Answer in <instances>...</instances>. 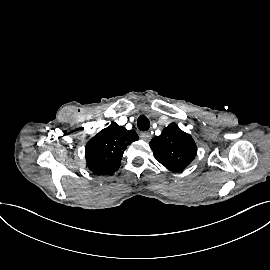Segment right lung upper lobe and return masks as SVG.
<instances>
[{
	"instance_id": "1",
	"label": "right lung upper lobe",
	"mask_w": 270,
	"mask_h": 270,
	"mask_svg": "<svg viewBox=\"0 0 270 270\" xmlns=\"http://www.w3.org/2000/svg\"><path fill=\"white\" fill-rule=\"evenodd\" d=\"M136 140L138 135L134 130L112 123L87 143L85 157L88 168L98 175L113 174L119 169L127 146Z\"/></svg>"
}]
</instances>
